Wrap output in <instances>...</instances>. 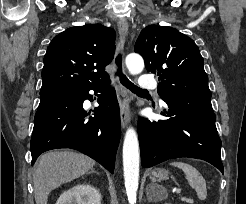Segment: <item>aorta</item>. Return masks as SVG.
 Here are the masks:
<instances>
[{"label":"aorta","instance_id":"obj_1","mask_svg":"<svg viewBox=\"0 0 246 204\" xmlns=\"http://www.w3.org/2000/svg\"><path fill=\"white\" fill-rule=\"evenodd\" d=\"M126 66L132 75L140 74L144 69V60L139 54H129L126 57ZM139 142L133 128L126 131L123 142V169L125 188L130 204L136 203V194L139 185Z\"/></svg>","mask_w":246,"mask_h":204}]
</instances>
